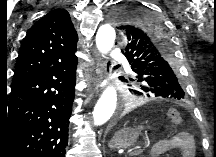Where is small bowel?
Segmentation results:
<instances>
[{
    "instance_id": "1",
    "label": "small bowel",
    "mask_w": 216,
    "mask_h": 157,
    "mask_svg": "<svg viewBox=\"0 0 216 157\" xmlns=\"http://www.w3.org/2000/svg\"><path fill=\"white\" fill-rule=\"evenodd\" d=\"M168 148L178 149L182 157H194L195 146L192 136L187 132H178L167 143Z\"/></svg>"
}]
</instances>
